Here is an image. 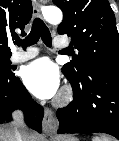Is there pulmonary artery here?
I'll return each instance as SVG.
<instances>
[{
  "label": "pulmonary artery",
  "mask_w": 119,
  "mask_h": 141,
  "mask_svg": "<svg viewBox=\"0 0 119 141\" xmlns=\"http://www.w3.org/2000/svg\"><path fill=\"white\" fill-rule=\"evenodd\" d=\"M55 46L58 48H66L68 44L64 41L56 40L54 42ZM38 50L33 47L27 48L25 51H16L12 54L11 60L14 63H19V62H25L27 60H30L34 58L35 56L38 55Z\"/></svg>",
  "instance_id": "obj_1"
}]
</instances>
